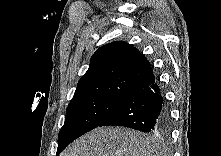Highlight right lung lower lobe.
Instances as JSON below:
<instances>
[{
	"label": "right lung lower lobe",
	"instance_id": "right-lung-lower-lobe-1",
	"mask_svg": "<svg viewBox=\"0 0 221 156\" xmlns=\"http://www.w3.org/2000/svg\"><path fill=\"white\" fill-rule=\"evenodd\" d=\"M110 125L142 132H167L170 126L169 107L157 83L129 97L99 126Z\"/></svg>",
	"mask_w": 221,
	"mask_h": 156
}]
</instances>
